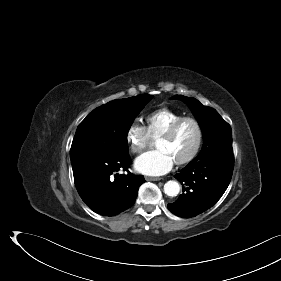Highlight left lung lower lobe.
<instances>
[{
	"mask_svg": "<svg viewBox=\"0 0 281 281\" xmlns=\"http://www.w3.org/2000/svg\"><path fill=\"white\" fill-rule=\"evenodd\" d=\"M233 156L202 157L191 161L175 178L183 194L168 204V209L182 218L199 215L214 206L226 191L233 173Z\"/></svg>",
	"mask_w": 281,
	"mask_h": 281,
	"instance_id": "1",
	"label": "left lung lower lobe"
}]
</instances>
